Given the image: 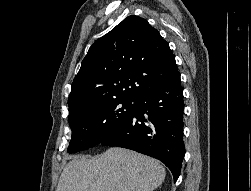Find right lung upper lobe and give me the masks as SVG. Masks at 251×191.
<instances>
[{"instance_id":"obj_1","label":"right lung upper lobe","mask_w":251,"mask_h":191,"mask_svg":"<svg viewBox=\"0 0 251 191\" xmlns=\"http://www.w3.org/2000/svg\"><path fill=\"white\" fill-rule=\"evenodd\" d=\"M178 73L160 33L147 20L131 15L92 44L73 80L68 106L135 100Z\"/></svg>"}]
</instances>
